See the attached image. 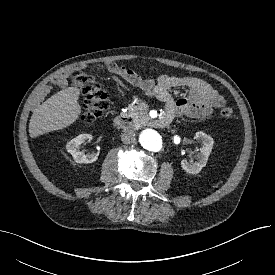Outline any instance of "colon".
Listing matches in <instances>:
<instances>
[{
  "label": "colon",
  "mask_w": 275,
  "mask_h": 275,
  "mask_svg": "<svg viewBox=\"0 0 275 275\" xmlns=\"http://www.w3.org/2000/svg\"><path fill=\"white\" fill-rule=\"evenodd\" d=\"M106 68L119 70L114 63H106ZM72 80L75 85L81 88L84 95V103L81 119L87 124L95 122L109 108V101L106 93L96 85L94 78L77 70L72 74ZM223 119H231L234 115L231 106H224L220 112Z\"/></svg>",
  "instance_id": "5ec220e1"
}]
</instances>
